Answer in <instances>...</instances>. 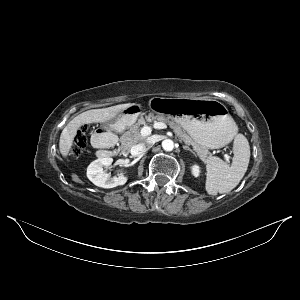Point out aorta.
I'll return each mask as SVG.
<instances>
[{
	"instance_id": "aorta-1",
	"label": "aorta",
	"mask_w": 300,
	"mask_h": 300,
	"mask_svg": "<svg viewBox=\"0 0 300 300\" xmlns=\"http://www.w3.org/2000/svg\"><path fill=\"white\" fill-rule=\"evenodd\" d=\"M175 147L174 142L171 139H165L162 141V148L165 151H172Z\"/></svg>"
}]
</instances>
